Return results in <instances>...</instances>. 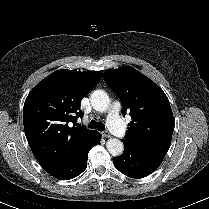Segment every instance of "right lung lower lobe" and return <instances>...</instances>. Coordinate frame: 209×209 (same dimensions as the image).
<instances>
[{
    "mask_svg": "<svg viewBox=\"0 0 209 209\" xmlns=\"http://www.w3.org/2000/svg\"><path fill=\"white\" fill-rule=\"evenodd\" d=\"M101 135L95 131L81 146L75 157L59 172L52 175L60 180H70L80 175L87 167L89 150L99 144Z\"/></svg>",
    "mask_w": 209,
    "mask_h": 209,
    "instance_id": "1",
    "label": "right lung lower lobe"
}]
</instances>
